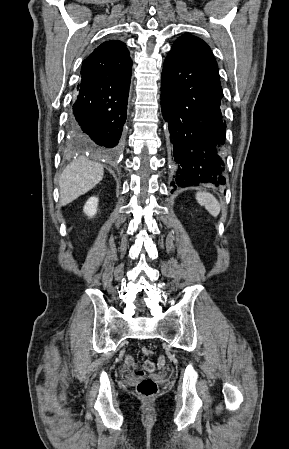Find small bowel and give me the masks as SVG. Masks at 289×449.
Segmentation results:
<instances>
[{"mask_svg":"<svg viewBox=\"0 0 289 449\" xmlns=\"http://www.w3.org/2000/svg\"><path fill=\"white\" fill-rule=\"evenodd\" d=\"M164 356L165 355L162 353L160 355V357H158V359H157V366L161 369L166 366V363H165L166 359ZM124 361H125L126 366H128L130 368H137V363L133 356L126 355L124 358ZM143 368L147 371H152L155 368V364L152 361H146L143 364ZM139 372H142V371H136L135 373L138 374Z\"/></svg>","mask_w":289,"mask_h":449,"instance_id":"obj_1","label":"small bowel"}]
</instances>
